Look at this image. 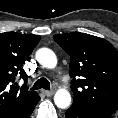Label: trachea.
<instances>
[{
	"mask_svg": "<svg viewBox=\"0 0 118 118\" xmlns=\"http://www.w3.org/2000/svg\"><path fill=\"white\" fill-rule=\"evenodd\" d=\"M41 88L50 90V82L46 78H40L39 80H37L31 89L38 90Z\"/></svg>",
	"mask_w": 118,
	"mask_h": 118,
	"instance_id": "1",
	"label": "trachea"
}]
</instances>
